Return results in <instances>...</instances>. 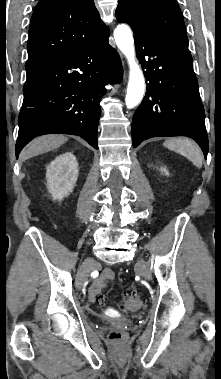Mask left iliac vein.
Here are the masks:
<instances>
[{
  "label": "left iliac vein",
  "mask_w": 221,
  "mask_h": 379,
  "mask_svg": "<svg viewBox=\"0 0 221 379\" xmlns=\"http://www.w3.org/2000/svg\"><path fill=\"white\" fill-rule=\"evenodd\" d=\"M137 266H138V269L140 270V272L142 273V275L147 279V280H151V272L148 268V265L145 263L144 260H139L138 263H137Z\"/></svg>",
  "instance_id": "4c4485c4"
}]
</instances>
